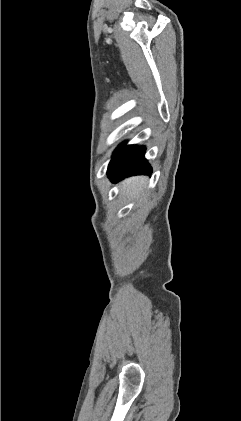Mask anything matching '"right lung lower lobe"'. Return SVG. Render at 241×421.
<instances>
[{
    "label": "right lung lower lobe",
    "mask_w": 241,
    "mask_h": 421,
    "mask_svg": "<svg viewBox=\"0 0 241 421\" xmlns=\"http://www.w3.org/2000/svg\"><path fill=\"white\" fill-rule=\"evenodd\" d=\"M144 153L145 147L125 146L123 143L116 149L109 164L108 177L117 182L128 176L151 173L152 169L144 158Z\"/></svg>",
    "instance_id": "98d812e1"
}]
</instances>
